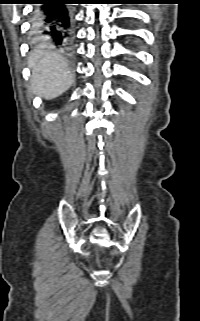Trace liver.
Returning <instances> with one entry per match:
<instances>
[{
    "mask_svg": "<svg viewBox=\"0 0 200 321\" xmlns=\"http://www.w3.org/2000/svg\"><path fill=\"white\" fill-rule=\"evenodd\" d=\"M46 48V45H40L34 49L29 55L28 66L32 70L33 92L51 100L67 91L74 77L65 59Z\"/></svg>",
    "mask_w": 200,
    "mask_h": 321,
    "instance_id": "6515ba94",
    "label": "liver"
}]
</instances>
